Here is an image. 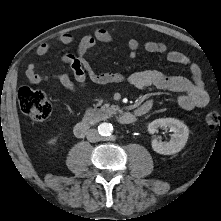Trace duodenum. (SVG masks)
<instances>
[{
    "label": "duodenum",
    "instance_id": "410a0bca",
    "mask_svg": "<svg viewBox=\"0 0 221 221\" xmlns=\"http://www.w3.org/2000/svg\"><path fill=\"white\" fill-rule=\"evenodd\" d=\"M149 109H150L149 106H143L141 108L140 113L123 112V113L119 114L118 121L122 125L133 124L136 122L138 116L147 113L149 111ZM99 110H100V108L95 109V113H98ZM90 127H91V119L90 118H86L84 120H81L74 127L75 136L78 138L85 137L87 135L88 131L90 130Z\"/></svg>",
    "mask_w": 221,
    "mask_h": 221
}]
</instances>
